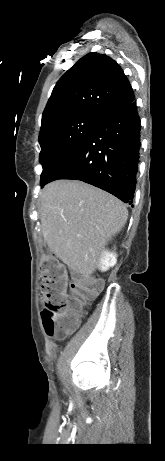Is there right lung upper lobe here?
I'll return each instance as SVG.
<instances>
[{"label": "right lung upper lobe", "mask_w": 165, "mask_h": 461, "mask_svg": "<svg viewBox=\"0 0 165 461\" xmlns=\"http://www.w3.org/2000/svg\"><path fill=\"white\" fill-rule=\"evenodd\" d=\"M134 100L133 89L120 65L105 54L89 53L56 83L42 114L40 133L62 119H102Z\"/></svg>", "instance_id": "cb5924a9"}]
</instances>
